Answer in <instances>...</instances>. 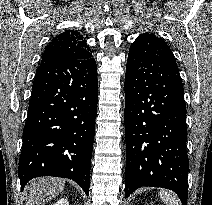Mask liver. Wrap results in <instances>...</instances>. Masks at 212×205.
Returning <instances> with one entry per match:
<instances>
[{"label":"liver","instance_id":"6515ba94","mask_svg":"<svg viewBox=\"0 0 212 205\" xmlns=\"http://www.w3.org/2000/svg\"><path fill=\"white\" fill-rule=\"evenodd\" d=\"M65 187L61 178L43 177L29 182L25 188L26 205H45L60 194Z\"/></svg>","mask_w":212,"mask_h":205}]
</instances>
